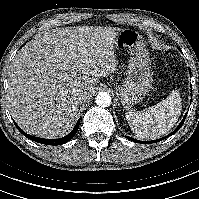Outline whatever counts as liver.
Listing matches in <instances>:
<instances>
[{
    "label": "liver",
    "instance_id": "1",
    "mask_svg": "<svg viewBox=\"0 0 199 199\" xmlns=\"http://www.w3.org/2000/svg\"><path fill=\"white\" fill-rule=\"evenodd\" d=\"M121 30L61 28L26 44L16 55L8 79L9 110L19 126L39 137L64 136L100 78L116 71L115 43ZM74 89L84 91L82 101L73 98Z\"/></svg>",
    "mask_w": 199,
    "mask_h": 199
}]
</instances>
